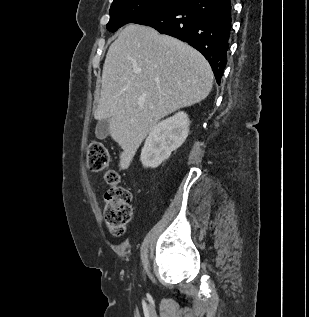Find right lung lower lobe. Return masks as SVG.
Returning a JSON list of instances; mask_svg holds the SVG:
<instances>
[{
    "instance_id": "98d812e1",
    "label": "right lung lower lobe",
    "mask_w": 309,
    "mask_h": 317,
    "mask_svg": "<svg viewBox=\"0 0 309 317\" xmlns=\"http://www.w3.org/2000/svg\"><path fill=\"white\" fill-rule=\"evenodd\" d=\"M131 23L147 25L200 51L221 81L231 34L230 0H184L144 14Z\"/></svg>"
}]
</instances>
